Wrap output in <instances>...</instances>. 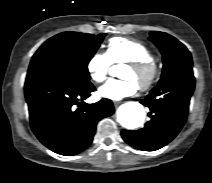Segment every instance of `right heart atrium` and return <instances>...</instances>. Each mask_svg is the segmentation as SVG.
<instances>
[{"label": "right heart atrium", "mask_w": 212, "mask_h": 183, "mask_svg": "<svg viewBox=\"0 0 212 183\" xmlns=\"http://www.w3.org/2000/svg\"><path fill=\"white\" fill-rule=\"evenodd\" d=\"M112 62L108 55L103 52L95 53L87 63V72L96 83L107 80Z\"/></svg>", "instance_id": "d8ad5b80"}]
</instances>
